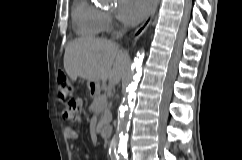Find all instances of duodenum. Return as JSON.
<instances>
[{
    "label": "duodenum",
    "instance_id": "410a0bca",
    "mask_svg": "<svg viewBox=\"0 0 242 160\" xmlns=\"http://www.w3.org/2000/svg\"><path fill=\"white\" fill-rule=\"evenodd\" d=\"M112 129L110 126H103L100 128V136L104 139H108L111 135Z\"/></svg>",
    "mask_w": 242,
    "mask_h": 160
}]
</instances>
